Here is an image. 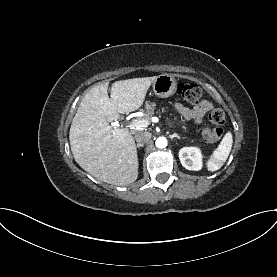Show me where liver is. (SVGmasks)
Segmentation results:
<instances>
[{
  "mask_svg": "<svg viewBox=\"0 0 277 277\" xmlns=\"http://www.w3.org/2000/svg\"><path fill=\"white\" fill-rule=\"evenodd\" d=\"M158 76L116 81L108 96V82L92 88L73 118L69 141L75 161L103 182L126 186L138 177V157L133 136L126 128L109 123L119 114L139 109Z\"/></svg>",
  "mask_w": 277,
  "mask_h": 277,
  "instance_id": "liver-1",
  "label": "liver"
}]
</instances>
